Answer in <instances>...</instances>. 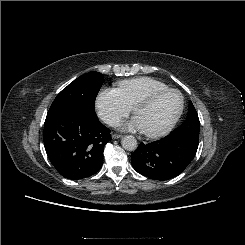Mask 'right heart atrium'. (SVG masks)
I'll use <instances>...</instances> for the list:
<instances>
[{
	"instance_id": "1",
	"label": "right heart atrium",
	"mask_w": 245,
	"mask_h": 245,
	"mask_svg": "<svg viewBox=\"0 0 245 245\" xmlns=\"http://www.w3.org/2000/svg\"><path fill=\"white\" fill-rule=\"evenodd\" d=\"M95 107L99 117L108 125H116L122 118L128 116L127 106L116 89L102 88L97 94Z\"/></svg>"
}]
</instances>
